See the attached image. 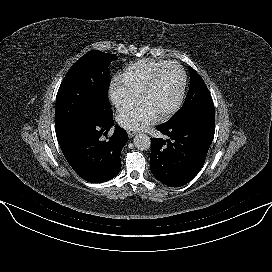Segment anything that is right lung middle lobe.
Returning <instances> with one entry per match:
<instances>
[{
	"instance_id": "dd1d6c3e",
	"label": "right lung middle lobe",
	"mask_w": 272,
	"mask_h": 272,
	"mask_svg": "<svg viewBox=\"0 0 272 272\" xmlns=\"http://www.w3.org/2000/svg\"><path fill=\"white\" fill-rule=\"evenodd\" d=\"M115 59L114 54L90 51L69 69L56 97L57 138L85 119L102 121L113 116L108 99V67Z\"/></svg>"
}]
</instances>
